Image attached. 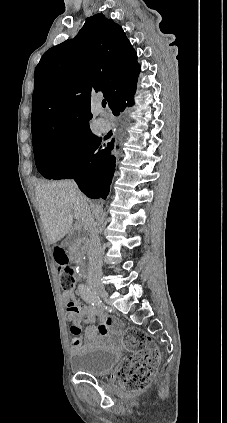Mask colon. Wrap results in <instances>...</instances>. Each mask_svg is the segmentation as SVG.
I'll return each mask as SVG.
<instances>
[{
    "instance_id": "1",
    "label": "colon",
    "mask_w": 227,
    "mask_h": 423,
    "mask_svg": "<svg viewBox=\"0 0 227 423\" xmlns=\"http://www.w3.org/2000/svg\"><path fill=\"white\" fill-rule=\"evenodd\" d=\"M55 259L63 287L71 290L75 280L63 249H55ZM124 347L130 355L120 367L118 379L127 388L142 391L150 385L155 374L160 359L159 351L146 333L135 328L127 330Z\"/></svg>"
}]
</instances>
